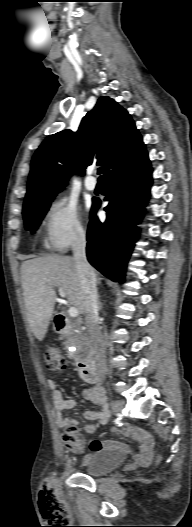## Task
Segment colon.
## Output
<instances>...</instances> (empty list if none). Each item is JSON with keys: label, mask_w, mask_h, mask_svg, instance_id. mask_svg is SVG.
I'll return each instance as SVG.
<instances>
[{"label": "colon", "mask_w": 192, "mask_h": 527, "mask_svg": "<svg viewBox=\"0 0 192 527\" xmlns=\"http://www.w3.org/2000/svg\"><path fill=\"white\" fill-rule=\"evenodd\" d=\"M45 360L47 368L50 371L61 373L67 368V361L57 347H49L46 349ZM62 439L66 447L74 452H81L85 447V441L79 435L76 425L69 426L63 434ZM41 499L44 511H47L49 504L56 503L50 480H46L42 486Z\"/></svg>", "instance_id": "obj_1"}]
</instances>
